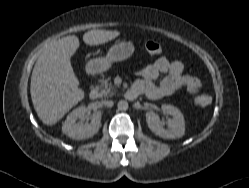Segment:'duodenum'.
<instances>
[{"mask_svg": "<svg viewBox=\"0 0 249 188\" xmlns=\"http://www.w3.org/2000/svg\"><path fill=\"white\" fill-rule=\"evenodd\" d=\"M96 74L94 69L88 70V76L94 77ZM139 95V91L136 88H131L127 91V96L129 99H135ZM89 98L91 100H97L99 98V90L96 87H92L89 92Z\"/></svg>", "mask_w": 249, "mask_h": 188, "instance_id": "obj_1", "label": "duodenum"}]
</instances>
